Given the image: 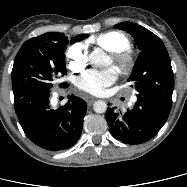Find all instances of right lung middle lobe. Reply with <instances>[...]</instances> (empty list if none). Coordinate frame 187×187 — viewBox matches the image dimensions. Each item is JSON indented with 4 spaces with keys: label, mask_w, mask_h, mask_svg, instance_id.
<instances>
[{
    "label": "right lung middle lobe",
    "mask_w": 187,
    "mask_h": 187,
    "mask_svg": "<svg viewBox=\"0 0 187 187\" xmlns=\"http://www.w3.org/2000/svg\"><path fill=\"white\" fill-rule=\"evenodd\" d=\"M86 37L76 36L69 41L63 33H58L55 36L41 35L23 43L12 69L14 100L32 92L50 90L53 83L67 73L66 45Z\"/></svg>",
    "instance_id": "dd1d6c3e"
}]
</instances>
